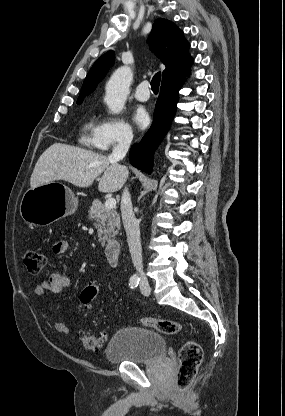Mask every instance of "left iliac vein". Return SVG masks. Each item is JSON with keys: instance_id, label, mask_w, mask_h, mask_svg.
<instances>
[{"instance_id": "obj_1", "label": "left iliac vein", "mask_w": 285, "mask_h": 416, "mask_svg": "<svg viewBox=\"0 0 285 416\" xmlns=\"http://www.w3.org/2000/svg\"><path fill=\"white\" fill-rule=\"evenodd\" d=\"M140 290L142 294L149 295L150 294V287L147 281H142L140 284Z\"/></svg>"}]
</instances>
